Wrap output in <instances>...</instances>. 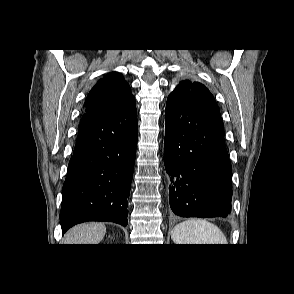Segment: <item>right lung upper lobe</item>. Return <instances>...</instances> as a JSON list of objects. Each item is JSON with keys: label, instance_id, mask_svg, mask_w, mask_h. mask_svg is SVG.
I'll return each instance as SVG.
<instances>
[{"label": "right lung upper lobe", "instance_id": "1", "mask_svg": "<svg viewBox=\"0 0 294 294\" xmlns=\"http://www.w3.org/2000/svg\"><path fill=\"white\" fill-rule=\"evenodd\" d=\"M134 99L121 74L112 72L92 88L85 102L84 115L109 113Z\"/></svg>", "mask_w": 294, "mask_h": 294}]
</instances>
